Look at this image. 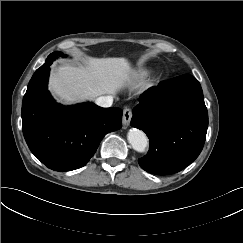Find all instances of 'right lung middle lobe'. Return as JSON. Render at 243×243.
<instances>
[{
  "mask_svg": "<svg viewBox=\"0 0 243 243\" xmlns=\"http://www.w3.org/2000/svg\"><path fill=\"white\" fill-rule=\"evenodd\" d=\"M65 57L66 55H64L62 52H53L52 54H50L47 58V60H51L53 62V60H55L56 57Z\"/></svg>",
  "mask_w": 243,
  "mask_h": 243,
  "instance_id": "dd1d6c3e",
  "label": "right lung middle lobe"
}]
</instances>
